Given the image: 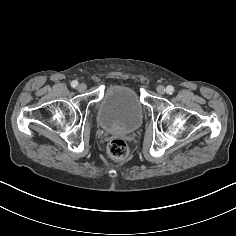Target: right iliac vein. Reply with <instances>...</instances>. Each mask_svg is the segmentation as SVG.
Segmentation results:
<instances>
[{
  "instance_id": "right-iliac-vein-1",
  "label": "right iliac vein",
  "mask_w": 236,
  "mask_h": 236,
  "mask_svg": "<svg viewBox=\"0 0 236 236\" xmlns=\"http://www.w3.org/2000/svg\"><path fill=\"white\" fill-rule=\"evenodd\" d=\"M86 89H87L86 84L81 83V84L78 85V91L84 92Z\"/></svg>"
}]
</instances>
